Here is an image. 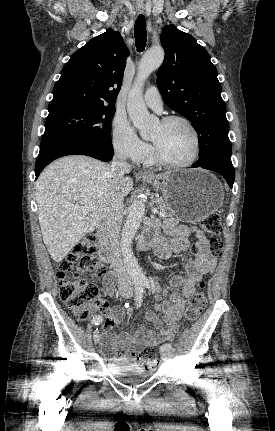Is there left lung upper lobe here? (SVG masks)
<instances>
[{
	"label": "left lung upper lobe",
	"instance_id": "left-lung-upper-lobe-1",
	"mask_svg": "<svg viewBox=\"0 0 275 431\" xmlns=\"http://www.w3.org/2000/svg\"><path fill=\"white\" fill-rule=\"evenodd\" d=\"M161 44L165 57L157 72V86L164 102L192 122L199 137L197 162L230 159L226 107L210 55L174 25L163 29Z\"/></svg>",
	"mask_w": 275,
	"mask_h": 431
}]
</instances>
